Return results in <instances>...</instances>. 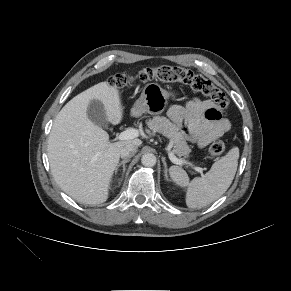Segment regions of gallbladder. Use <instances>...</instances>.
Listing matches in <instances>:
<instances>
[{
    "label": "gallbladder",
    "instance_id": "obj_1",
    "mask_svg": "<svg viewBox=\"0 0 291 291\" xmlns=\"http://www.w3.org/2000/svg\"><path fill=\"white\" fill-rule=\"evenodd\" d=\"M87 115L94 124L103 128L108 127L105 108L100 101L95 99L91 100L87 108Z\"/></svg>",
    "mask_w": 291,
    "mask_h": 291
}]
</instances>
